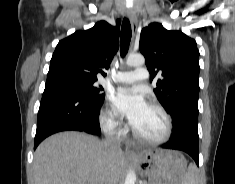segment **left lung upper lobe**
<instances>
[{"label": "left lung upper lobe", "instance_id": "5c2ea615", "mask_svg": "<svg viewBox=\"0 0 235 184\" xmlns=\"http://www.w3.org/2000/svg\"><path fill=\"white\" fill-rule=\"evenodd\" d=\"M139 50L145 57L150 80L157 74L162 76L154 92L172 117V132L182 126L198 130L200 66L196 41L155 22L142 30Z\"/></svg>", "mask_w": 235, "mask_h": 184}]
</instances>
